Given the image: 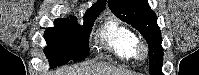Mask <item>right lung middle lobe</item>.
I'll list each match as a JSON object with an SVG mask.
<instances>
[{
    "instance_id": "right-lung-middle-lobe-1",
    "label": "right lung middle lobe",
    "mask_w": 199,
    "mask_h": 75,
    "mask_svg": "<svg viewBox=\"0 0 199 75\" xmlns=\"http://www.w3.org/2000/svg\"><path fill=\"white\" fill-rule=\"evenodd\" d=\"M100 13L85 17V24L80 26L75 19H58L55 27L47 28L44 34L48 46L44 53L51 68L67 63L69 60H83L89 54L88 38L91 27Z\"/></svg>"
}]
</instances>
